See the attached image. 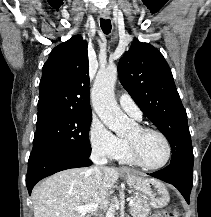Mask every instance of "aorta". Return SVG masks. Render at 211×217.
I'll list each match as a JSON object with an SVG mask.
<instances>
[{"label":"aorta","instance_id":"aorta-1","mask_svg":"<svg viewBox=\"0 0 211 217\" xmlns=\"http://www.w3.org/2000/svg\"><path fill=\"white\" fill-rule=\"evenodd\" d=\"M117 67L110 65L100 69L92 88V104L101 121L117 135H124L130 128V120L121 111L114 96ZM106 217H115V205L108 208Z\"/></svg>","mask_w":211,"mask_h":217}]
</instances>
